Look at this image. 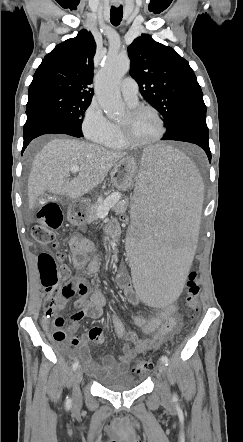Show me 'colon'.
<instances>
[{"label":"colon","instance_id":"1","mask_svg":"<svg viewBox=\"0 0 243 442\" xmlns=\"http://www.w3.org/2000/svg\"><path fill=\"white\" fill-rule=\"evenodd\" d=\"M128 213H118L117 221L123 222L124 226L130 225ZM39 222L32 228V237L34 241L43 247L56 248L58 246L55 231L58 230L63 222V212L57 200H50L43 205L38 214ZM38 267L40 281L47 292L46 308L52 312L65 299L74 295L75 289L66 285L62 286L60 280L66 278L69 270L65 266L59 267L55 258L49 253H43L39 256ZM200 269L192 266L189 269L188 278L185 279L187 288L182 296L185 298V304L189 310V317L193 318L199 310L200 284L198 282V273ZM52 337L56 341H64L67 334L64 331V320L57 317L52 326ZM132 371L136 374L145 375L153 370V364L142 357L132 358Z\"/></svg>","mask_w":243,"mask_h":442}]
</instances>
